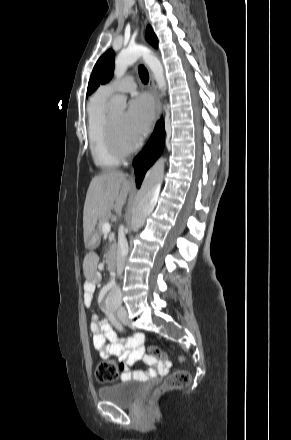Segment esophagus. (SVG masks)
Listing matches in <instances>:
<instances>
[{"mask_svg":"<svg viewBox=\"0 0 291 440\" xmlns=\"http://www.w3.org/2000/svg\"><path fill=\"white\" fill-rule=\"evenodd\" d=\"M146 21L144 22V28L146 27ZM149 86L151 93L153 95L154 101H155V122L158 120L160 115V109H161V103L158 95V91L154 82L153 74L151 70H149Z\"/></svg>","mask_w":291,"mask_h":440,"instance_id":"obj_1","label":"esophagus"}]
</instances>
